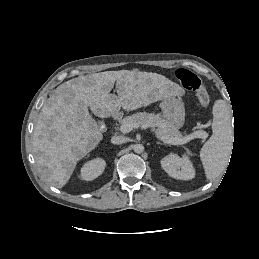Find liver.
Here are the masks:
<instances>
[{"instance_id":"obj_1","label":"liver","mask_w":259,"mask_h":259,"mask_svg":"<svg viewBox=\"0 0 259 259\" xmlns=\"http://www.w3.org/2000/svg\"><path fill=\"white\" fill-rule=\"evenodd\" d=\"M115 82L118 96L110 94ZM181 93V87L165 76L137 70L105 71L64 82L42 107L34 128L33 152L40 173L62 188L77 162L101 142L103 133L88 108L108 118L121 108L129 112Z\"/></svg>"}]
</instances>
